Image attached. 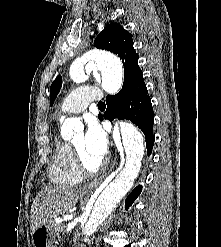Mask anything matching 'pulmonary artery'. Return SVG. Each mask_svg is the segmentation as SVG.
Masks as SVG:
<instances>
[{
	"label": "pulmonary artery",
	"instance_id": "pulmonary-artery-1",
	"mask_svg": "<svg viewBox=\"0 0 221 247\" xmlns=\"http://www.w3.org/2000/svg\"><path fill=\"white\" fill-rule=\"evenodd\" d=\"M103 92L87 86H81L70 92L63 100L60 114L68 115L84 111L91 101L100 100Z\"/></svg>",
	"mask_w": 221,
	"mask_h": 247
}]
</instances>
